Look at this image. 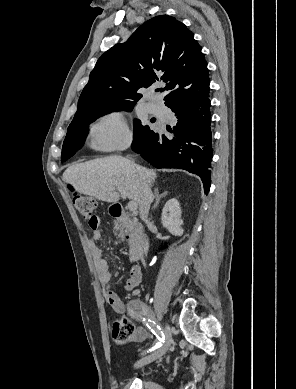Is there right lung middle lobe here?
Listing matches in <instances>:
<instances>
[{
    "mask_svg": "<svg viewBox=\"0 0 296 389\" xmlns=\"http://www.w3.org/2000/svg\"><path fill=\"white\" fill-rule=\"evenodd\" d=\"M132 109L133 106L92 108L74 117L73 121L67 129V135L62 147L61 160L66 161L72 155H74L79 148L82 147L87 136L88 125L91 122L112 111H131ZM153 133L154 131H152L148 125L142 124L140 120L136 119L134 121V140L132 143V148L136 149L142 147Z\"/></svg>",
    "mask_w": 296,
    "mask_h": 389,
    "instance_id": "dd1d6c3e",
    "label": "right lung middle lobe"
}]
</instances>
